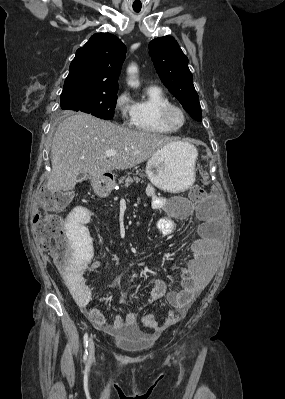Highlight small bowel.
I'll list each match as a JSON object with an SVG mask.
<instances>
[{"instance_id": "small-bowel-1", "label": "small bowel", "mask_w": 285, "mask_h": 399, "mask_svg": "<svg viewBox=\"0 0 285 399\" xmlns=\"http://www.w3.org/2000/svg\"><path fill=\"white\" fill-rule=\"evenodd\" d=\"M146 195L151 199V204L155 208L164 209L167 212L166 217L157 220L155 227L162 235H171L176 230L175 218H189L194 214L206 218L205 211H194L183 205V198L177 197L171 202L156 197L153 189H146ZM188 208L186 212H182ZM80 220L87 224L88 217L85 212L77 211L71 213L65 221V229L68 240L75 253V268L79 269L80 277L77 278L74 273L68 276L62 275L73 297L86 308V314L91 323L99 330L110 334H122L124 329L135 331L140 311L128 312L123 316H116L111 322H108L104 314L97 308L90 305L91 291L84 281L83 273L91 272L101 265L97 259H83L78 253L79 244L85 239L89 242V231L84 228ZM85 229V232L83 230ZM207 231L203 230L202 235L191 242L190 252L192 257L187 266L181 270V288L177 291L168 292L167 283L164 279L155 280L150 292V301L167 298L170 306L179 314L176 320H171L169 316L162 325L148 328L152 334H160L168 327L175 324L180 318L184 317L188 308L195 298L206 287L211 278L214 265L216 263V251L214 245L207 236Z\"/></svg>"}]
</instances>
